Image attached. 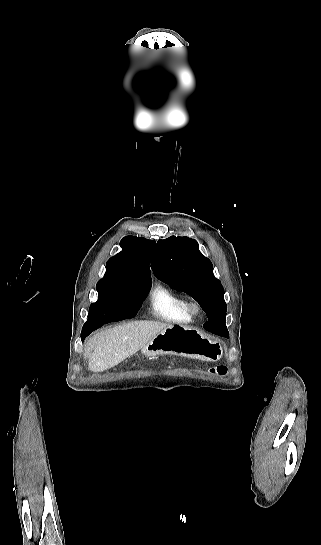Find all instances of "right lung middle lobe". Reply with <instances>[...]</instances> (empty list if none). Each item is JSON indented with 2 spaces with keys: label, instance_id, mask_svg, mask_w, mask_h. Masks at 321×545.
I'll use <instances>...</instances> for the list:
<instances>
[{
  "label": "right lung middle lobe",
  "instance_id": "1",
  "mask_svg": "<svg viewBox=\"0 0 321 545\" xmlns=\"http://www.w3.org/2000/svg\"><path fill=\"white\" fill-rule=\"evenodd\" d=\"M150 287L151 286L124 288L111 285L101 279L96 286L98 292V300L95 303L91 304L87 322L91 323L95 319L96 310L111 299L124 294H129L139 296L142 300H144L150 290Z\"/></svg>",
  "mask_w": 321,
  "mask_h": 545
}]
</instances>
